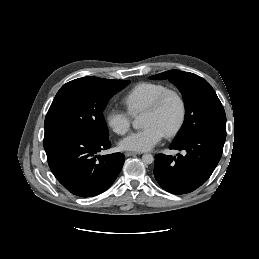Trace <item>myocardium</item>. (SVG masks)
Wrapping results in <instances>:
<instances>
[{"label": "myocardium", "mask_w": 259, "mask_h": 259, "mask_svg": "<svg viewBox=\"0 0 259 259\" xmlns=\"http://www.w3.org/2000/svg\"><path fill=\"white\" fill-rule=\"evenodd\" d=\"M169 98H174L176 100L178 104L179 113H178V118L175 125L164 133L166 137H172L176 135L181 130L185 121L186 106H185L184 99L180 95V93H178L175 90L168 89L165 92H163L155 100V102L145 110V113L156 114L161 111V109L163 108V106L165 105V103Z\"/></svg>", "instance_id": "1"}]
</instances>
